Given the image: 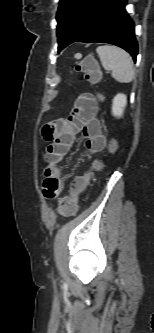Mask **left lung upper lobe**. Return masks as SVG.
I'll use <instances>...</instances> for the list:
<instances>
[{
    "label": "left lung upper lobe",
    "instance_id": "left-lung-upper-lobe-1",
    "mask_svg": "<svg viewBox=\"0 0 154 333\" xmlns=\"http://www.w3.org/2000/svg\"><path fill=\"white\" fill-rule=\"evenodd\" d=\"M97 0H60L57 11L58 52L72 37L82 19Z\"/></svg>",
    "mask_w": 154,
    "mask_h": 333
}]
</instances>
